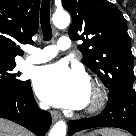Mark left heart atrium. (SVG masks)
Here are the masks:
<instances>
[{
  "mask_svg": "<svg viewBox=\"0 0 136 136\" xmlns=\"http://www.w3.org/2000/svg\"><path fill=\"white\" fill-rule=\"evenodd\" d=\"M34 88L44 102L72 109L84 107L90 93L85 73L64 63L41 67L34 77Z\"/></svg>",
  "mask_w": 136,
  "mask_h": 136,
  "instance_id": "left-heart-atrium-1",
  "label": "left heart atrium"
}]
</instances>
